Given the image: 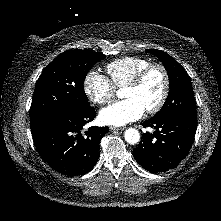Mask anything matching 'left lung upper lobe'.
I'll use <instances>...</instances> for the list:
<instances>
[{
    "label": "left lung upper lobe",
    "instance_id": "obj_1",
    "mask_svg": "<svg viewBox=\"0 0 221 221\" xmlns=\"http://www.w3.org/2000/svg\"><path fill=\"white\" fill-rule=\"evenodd\" d=\"M146 52L161 60L167 70L170 84L169 95L161 110L154 117L181 115L197 119L193 87L184 68L163 51L151 49Z\"/></svg>",
    "mask_w": 221,
    "mask_h": 221
}]
</instances>
